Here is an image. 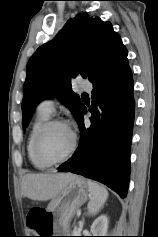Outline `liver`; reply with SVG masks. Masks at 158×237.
Segmentation results:
<instances>
[{
    "label": "liver",
    "instance_id": "obj_1",
    "mask_svg": "<svg viewBox=\"0 0 158 237\" xmlns=\"http://www.w3.org/2000/svg\"><path fill=\"white\" fill-rule=\"evenodd\" d=\"M77 176L71 173L26 174L21 181L23 196L47 201L55 198Z\"/></svg>",
    "mask_w": 158,
    "mask_h": 237
}]
</instances>
